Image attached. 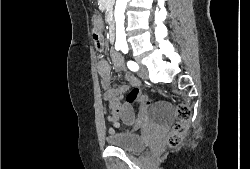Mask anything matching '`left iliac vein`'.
Here are the masks:
<instances>
[{"label":"left iliac vein","instance_id":"obj_1","mask_svg":"<svg viewBox=\"0 0 250 169\" xmlns=\"http://www.w3.org/2000/svg\"><path fill=\"white\" fill-rule=\"evenodd\" d=\"M138 76L142 79H145V80H148L149 79V76H148V72H147V69L142 66L139 70V72L137 73Z\"/></svg>","mask_w":250,"mask_h":169}]
</instances>
